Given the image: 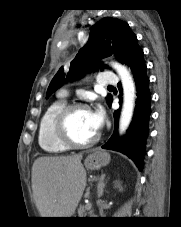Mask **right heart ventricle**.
<instances>
[{
	"label": "right heart ventricle",
	"mask_w": 181,
	"mask_h": 227,
	"mask_svg": "<svg viewBox=\"0 0 181 227\" xmlns=\"http://www.w3.org/2000/svg\"><path fill=\"white\" fill-rule=\"evenodd\" d=\"M66 105L64 97L60 96L53 101L44 111L39 122L38 143L47 153L60 154L68 150L55 135L54 120L58 112Z\"/></svg>",
	"instance_id": "e07e8e85"
}]
</instances>
